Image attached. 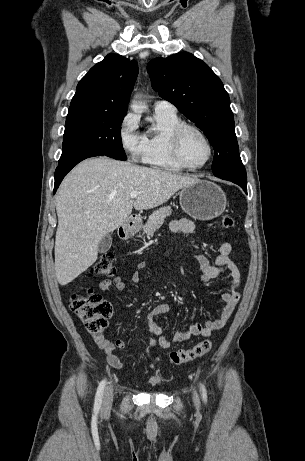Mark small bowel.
Returning <instances> with one entry per match:
<instances>
[{
  "instance_id": "c3829d8e",
  "label": "small bowel",
  "mask_w": 305,
  "mask_h": 461,
  "mask_svg": "<svg viewBox=\"0 0 305 461\" xmlns=\"http://www.w3.org/2000/svg\"><path fill=\"white\" fill-rule=\"evenodd\" d=\"M171 231L174 233L189 234L195 229L194 223L185 218L175 219L170 225ZM172 252V249H167L165 255ZM232 253V245L228 242H224L219 247V254L216 257L214 263H211L206 256L202 254H192V258L197 261L201 269V280L205 283L217 278L222 274H226L229 278V286L226 291L221 295L223 306L217 318L206 321L205 323H194L189 326L187 330L178 331L174 334L173 340L171 341L163 335L162 328L157 321V317L168 312L169 306L167 304H158L152 308L147 315V325L150 333L153 335V339L150 342V346L144 349L141 353L146 355L150 352V349L159 346L163 349L171 347L172 342L182 343L189 341L195 336L208 337L214 331L221 329L233 311L240 299V272L235 263L230 259ZM145 268V263L141 262L138 264L136 271L132 275V280L138 282L140 279L141 271ZM114 286L117 290L123 291L126 289V284L121 277L114 279H104L100 282L99 288L102 291L108 290ZM94 340L98 347L102 350L105 355L107 363L116 369H121L123 363L120 358L115 354V349H124L125 343L121 339L110 341L104 334L94 335ZM161 360V356H157L152 363L144 370L147 373L148 370L153 369L158 362Z\"/></svg>"
}]
</instances>
